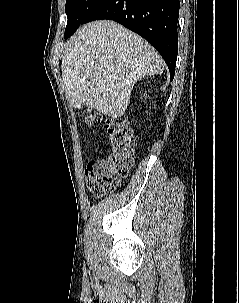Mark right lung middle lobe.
Here are the masks:
<instances>
[{"label": "right lung middle lobe", "instance_id": "dd1d6c3e", "mask_svg": "<svg viewBox=\"0 0 239 303\" xmlns=\"http://www.w3.org/2000/svg\"><path fill=\"white\" fill-rule=\"evenodd\" d=\"M106 0H66L65 11L67 26L64 38L67 39L76 31L79 25Z\"/></svg>", "mask_w": 239, "mask_h": 303}]
</instances>
